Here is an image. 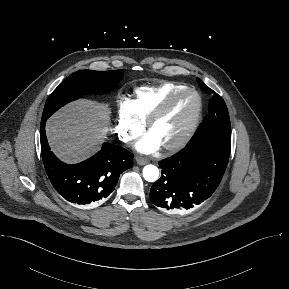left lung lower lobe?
Wrapping results in <instances>:
<instances>
[{
	"mask_svg": "<svg viewBox=\"0 0 289 289\" xmlns=\"http://www.w3.org/2000/svg\"><path fill=\"white\" fill-rule=\"evenodd\" d=\"M230 148L231 139H201L160 161L162 175L151 187V202L171 213H185L200 205L218 187Z\"/></svg>",
	"mask_w": 289,
	"mask_h": 289,
	"instance_id": "left-lung-lower-lobe-1",
	"label": "left lung lower lobe"
}]
</instances>
